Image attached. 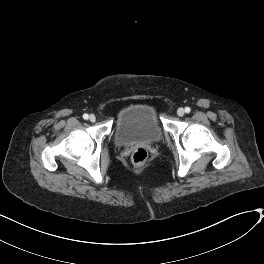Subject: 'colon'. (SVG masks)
Wrapping results in <instances>:
<instances>
[{
	"instance_id": "5ec220e1",
	"label": "colon",
	"mask_w": 264,
	"mask_h": 264,
	"mask_svg": "<svg viewBox=\"0 0 264 264\" xmlns=\"http://www.w3.org/2000/svg\"><path fill=\"white\" fill-rule=\"evenodd\" d=\"M148 158V152L145 148H138L132 155L133 163L136 167H142Z\"/></svg>"
}]
</instances>
